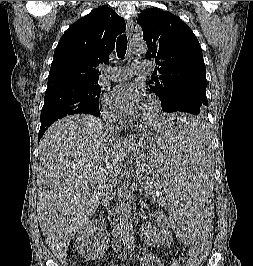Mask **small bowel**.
<instances>
[{"instance_id":"c3829d8e","label":"small bowel","mask_w":253,"mask_h":266,"mask_svg":"<svg viewBox=\"0 0 253 266\" xmlns=\"http://www.w3.org/2000/svg\"><path fill=\"white\" fill-rule=\"evenodd\" d=\"M144 262L146 266H151V265L152 266H180L179 262L175 259L166 264L162 260H160L159 258H157L156 256L152 254L146 255L144 258ZM111 266H118V265L113 264Z\"/></svg>"}]
</instances>
